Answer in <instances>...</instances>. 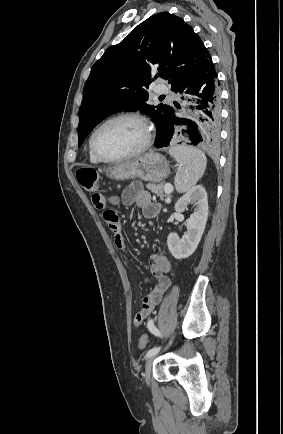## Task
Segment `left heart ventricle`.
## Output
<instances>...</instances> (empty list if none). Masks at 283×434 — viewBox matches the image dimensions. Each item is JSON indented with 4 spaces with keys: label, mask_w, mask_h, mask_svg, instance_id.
Wrapping results in <instances>:
<instances>
[{
    "label": "left heart ventricle",
    "mask_w": 283,
    "mask_h": 434,
    "mask_svg": "<svg viewBox=\"0 0 283 434\" xmlns=\"http://www.w3.org/2000/svg\"><path fill=\"white\" fill-rule=\"evenodd\" d=\"M144 129L137 121L122 119L104 126L96 135L98 152L108 158L126 155L144 142Z\"/></svg>",
    "instance_id": "left-heart-ventricle-1"
}]
</instances>
